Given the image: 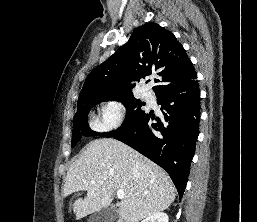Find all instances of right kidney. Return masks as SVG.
Masks as SVG:
<instances>
[{"mask_svg":"<svg viewBox=\"0 0 257 222\" xmlns=\"http://www.w3.org/2000/svg\"><path fill=\"white\" fill-rule=\"evenodd\" d=\"M141 222H169L168 215L163 212L155 213Z\"/></svg>","mask_w":257,"mask_h":222,"instance_id":"1","label":"right kidney"}]
</instances>
